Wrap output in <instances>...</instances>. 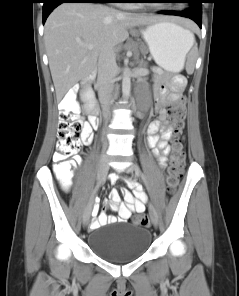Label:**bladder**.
<instances>
[{
	"mask_svg": "<svg viewBox=\"0 0 239 296\" xmlns=\"http://www.w3.org/2000/svg\"><path fill=\"white\" fill-rule=\"evenodd\" d=\"M150 232L127 222L105 225L90 239L91 250L104 260L126 262L140 258L151 245Z\"/></svg>",
	"mask_w": 239,
	"mask_h": 296,
	"instance_id": "31cf9c89",
	"label": "bladder"
}]
</instances>
